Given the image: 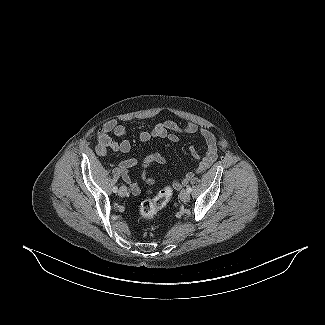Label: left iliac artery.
<instances>
[{
  "label": "left iliac artery",
  "instance_id": "1",
  "mask_svg": "<svg viewBox=\"0 0 325 325\" xmlns=\"http://www.w3.org/2000/svg\"><path fill=\"white\" fill-rule=\"evenodd\" d=\"M187 191L190 193L192 192V188L191 187H187Z\"/></svg>",
  "mask_w": 325,
  "mask_h": 325
}]
</instances>
